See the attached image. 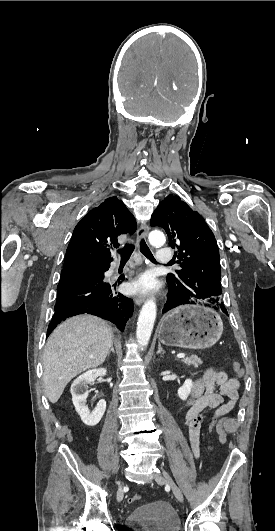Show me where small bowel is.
Returning <instances> with one entry per match:
<instances>
[{
	"mask_svg": "<svg viewBox=\"0 0 275 531\" xmlns=\"http://www.w3.org/2000/svg\"><path fill=\"white\" fill-rule=\"evenodd\" d=\"M240 382L229 378L224 371L207 368L192 384L184 404V425L198 457V441L202 422L209 410H214L212 418L217 421L230 412L238 399Z\"/></svg>",
	"mask_w": 275,
	"mask_h": 531,
	"instance_id": "c3829d8e",
	"label": "small bowel"
}]
</instances>
